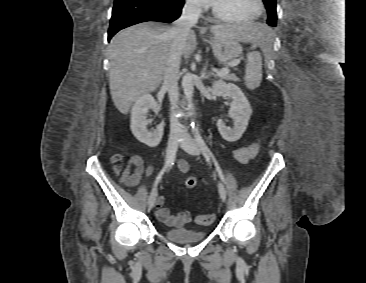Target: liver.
I'll return each mask as SVG.
<instances>
[{
	"label": "liver",
	"instance_id": "1",
	"mask_svg": "<svg viewBox=\"0 0 366 283\" xmlns=\"http://www.w3.org/2000/svg\"><path fill=\"white\" fill-rule=\"evenodd\" d=\"M170 26L144 22L117 33L108 46L110 58L109 87L116 108L127 114L140 96L155 91L162 82L164 67L172 39ZM213 35L225 36L244 43L265 45L270 31L254 23L219 24L210 28ZM197 47L191 31L182 56L188 59Z\"/></svg>",
	"mask_w": 366,
	"mask_h": 283
}]
</instances>
